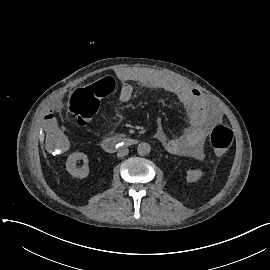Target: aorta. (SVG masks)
<instances>
[{
	"mask_svg": "<svg viewBox=\"0 0 270 270\" xmlns=\"http://www.w3.org/2000/svg\"><path fill=\"white\" fill-rule=\"evenodd\" d=\"M151 151V146L146 142H141L137 147V152L139 155L145 156Z\"/></svg>",
	"mask_w": 270,
	"mask_h": 270,
	"instance_id": "1",
	"label": "aorta"
}]
</instances>
